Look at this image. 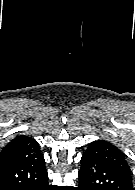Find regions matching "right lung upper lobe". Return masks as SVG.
Returning a JSON list of instances; mask_svg holds the SVG:
<instances>
[{"label":"right lung upper lobe","mask_w":135,"mask_h":190,"mask_svg":"<svg viewBox=\"0 0 135 190\" xmlns=\"http://www.w3.org/2000/svg\"><path fill=\"white\" fill-rule=\"evenodd\" d=\"M41 155L37 141L27 136H19L8 143L0 153V162L34 158Z\"/></svg>","instance_id":"cb5924a9"}]
</instances>
